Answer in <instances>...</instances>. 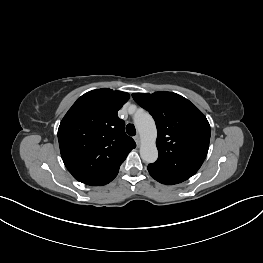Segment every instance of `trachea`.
Returning a JSON list of instances; mask_svg holds the SVG:
<instances>
[{"label":"trachea","mask_w":263,"mask_h":263,"mask_svg":"<svg viewBox=\"0 0 263 263\" xmlns=\"http://www.w3.org/2000/svg\"><path fill=\"white\" fill-rule=\"evenodd\" d=\"M126 132L128 135L130 136H134L136 135V129H135V126L133 124H128L126 126Z\"/></svg>","instance_id":"obj_1"}]
</instances>
